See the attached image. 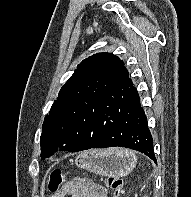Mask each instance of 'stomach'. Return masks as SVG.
I'll return each instance as SVG.
<instances>
[{"label": "stomach", "mask_w": 191, "mask_h": 197, "mask_svg": "<svg viewBox=\"0 0 191 197\" xmlns=\"http://www.w3.org/2000/svg\"><path fill=\"white\" fill-rule=\"evenodd\" d=\"M75 164L100 176L112 177L126 176L135 166L120 149L84 151L75 158Z\"/></svg>", "instance_id": "0dacf381"}]
</instances>
